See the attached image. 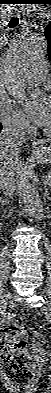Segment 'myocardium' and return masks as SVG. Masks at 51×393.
<instances>
[{"label":"myocardium","instance_id":"obj_1","mask_svg":"<svg viewBox=\"0 0 51 393\" xmlns=\"http://www.w3.org/2000/svg\"><path fill=\"white\" fill-rule=\"evenodd\" d=\"M44 131H45V133H47V134H51V130L45 129Z\"/></svg>","mask_w":51,"mask_h":393}]
</instances>
